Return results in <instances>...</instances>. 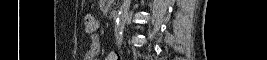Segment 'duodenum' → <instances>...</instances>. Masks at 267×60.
<instances>
[{
    "instance_id": "duodenum-1",
    "label": "duodenum",
    "mask_w": 267,
    "mask_h": 60,
    "mask_svg": "<svg viewBox=\"0 0 267 60\" xmlns=\"http://www.w3.org/2000/svg\"><path fill=\"white\" fill-rule=\"evenodd\" d=\"M111 16H112V18H117L118 17V10L117 9H112L111 10Z\"/></svg>"
}]
</instances>
